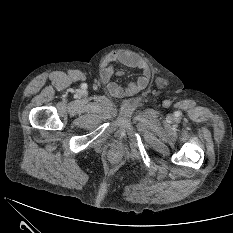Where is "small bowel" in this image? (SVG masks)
Returning a JSON list of instances; mask_svg holds the SVG:
<instances>
[{
	"mask_svg": "<svg viewBox=\"0 0 233 233\" xmlns=\"http://www.w3.org/2000/svg\"><path fill=\"white\" fill-rule=\"evenodd\" d=\"M120 63L129 68L140 70V76L128 83L127 85H120L113 81L114 76H119L122 72H115L114 65ZM150 69L148 65L137 55L128 51H118L110 54L100 69V79L106 85L108 92L114 97H125L137 94L149 83Z\"/></svg>",
	"mask_w": 233,
	"mask_h": 233,
	"instance_id": "small-bowel-1",
	"label": "small bowel"
}]
</instances>
